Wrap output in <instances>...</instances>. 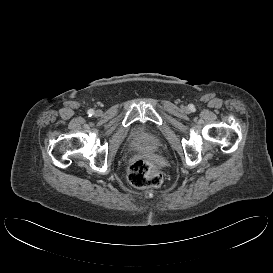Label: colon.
Instances as JSON below:
<instances>
[{
	"label": "colon",
	"mask_w": 273,
	"mask_h": 273,
	"mask_svg": "<svg viewBox=\"0 0 273 273\" xmlns=\"http://www.w3.org/2000/svg\"><path fill=\"white\" fill-rule=\"evenodd\" d=\"M127 180L137 188L158 187L163 182V176L157 166L145 159L133 161L126 171Z\"/></svg>",
	"instance_id": "1"
}]
</instances>
